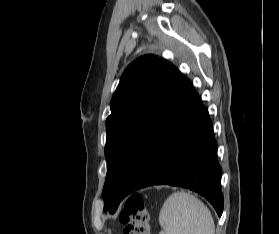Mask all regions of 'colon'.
<instances>
[{"instance_id": "colon-1", "label": "colon", "mask_w": 279, "mask_h": 234, "mask_svg": "<svg viewBox=\"0 0 279 234\" xmlns=\"http://www.w3.org/2000/svg\"><path fill=\"white\" fill-rule=\"evenodd\" d=\"M123 234H151L150 216L144 198L139 194L129 196L120 213Z\"/></svg>"}]
</instances>
